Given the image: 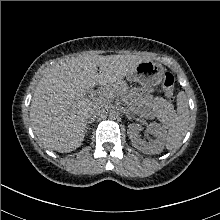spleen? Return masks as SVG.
I'll use <instances>...</instances> for the list:
<instances>
[{"label":"spleen","mask_w":220,"mask_h":220,"mask_svg":"<svg viewBox=\"0 0 220 220\" xmlns=\"http://www.w3.org/2000/svg\"><path fill=\"white\" fill-rule=\"evenodd\" d=\"M189 109L186 96L179 93L177 99V112L174 113L168 123V132L165 138V145L168 150L180 147L189 127Z\"/></svg>","instance_id":"spleen-1"}]
</instances>
